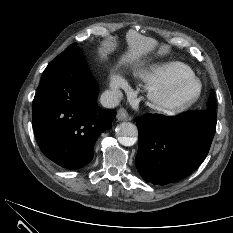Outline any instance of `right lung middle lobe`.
<instances>
[{
    "instance_id": "1",
    "label": "right lung middle lobe",
    "mask_w": 233,
    "mask_h": 233,
    "mask_svg": "<svg viewBox=\"0 0 233 233\" xmlns=\"http://www.w3.org/2000/svg\"><path fill=\"white\" fill-rule=\"evenodd\" d=\"M64 57H80V58H84L83 54H82V51L79 49V47L76 46V43L72 44L67 50L62 52L55 59H60V58H64Z\"/></svg>"
}]
</instances>
